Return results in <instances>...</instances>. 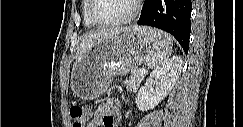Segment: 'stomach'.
<instances>
[{
	"label": "stomach",
	"instance_id": "0dacf381",
	"mask_svg": "<svg viewBox=\"0 0 243 127\" xmlns=\"http://www.w3.org/2000/svg\"><path fill=\"white\" fill-rule=\"evenodd\" d=\"M146 27H129L100 39L72 66L71 89L81 99L97 98L110 86L115 74L124 75L149 56L152 43Z\"/></svg>",
	"mask_w": 243,
	"mask_h": 127
}]
</instances>
